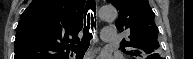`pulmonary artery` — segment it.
I'll return each instance as SVG.
<instances>
[{"instance_id": "e3ab8cb5", "label": "pulmonary artery", "mask_w": 193, "mask_h": 59, "mask_svg": "<svg viewBox=\"0 0 193 59\" xmlns=\"http://www.w3.org/2000/svg\"><path fill=\"white\" fill-rule=\"evenodd\" d=\"M114 29L110 26H107L103 29L102 39L105 42H115Z\"/></svg>"}]
</instances>
